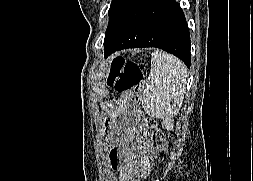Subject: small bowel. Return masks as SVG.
I'll list each match as a JSON object with an SVG mask.
<instances>
[{
  "mask_svg": "<svg viewBox=\"0 0 253 181\" xmlns=\"http://www.w3.org/2000/svg\"><path fill=\"white\" fill-rule=\"evenodd\" d=\"M130 99L131 95L124 93L114 108L107 160L111 169L120 174L121 181H142L149 174L158 152L144 129L134 131L136 137L121 130L119 116L128 109Z\"/></svg>",
  "mask_w": 253,
  "mask_h": 181,
  "instance_id": "obj_1",
  "label": "small bowel"
}]
</instances>
